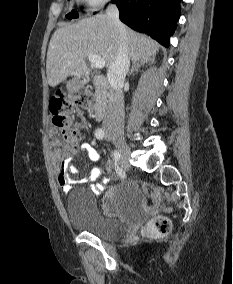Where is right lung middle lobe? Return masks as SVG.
<instances>
[{
  "mask_svg": "<svg viewBox=\"0 0 233 284\" xmlns=\"http://www.w3.org/2000/svg\"><path fill=\"white\" fill-rule=\"evenodd\" d=\"M67 18L72 19V18H77L78 15L77 13L73 10L69 14L66 15Z\"/></svg>",
  "mask_w": 233,
  "mask_h": 284,
  "instance_id": "dd1d6c3e",
  "label": "right lung middle lobe"
}]
</instances>
